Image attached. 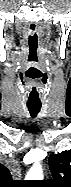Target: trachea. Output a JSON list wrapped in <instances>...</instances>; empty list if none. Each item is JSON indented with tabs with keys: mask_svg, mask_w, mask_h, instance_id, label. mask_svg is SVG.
Returning <instances> with one entry per match:
<instances>
[{
	"mask_svg": "<svg viewBox=\"0 0 71 187\" xmlns=\"http://www.w3.org/2000/svg\"><path fill=\"white\" fill-rule=\"evenodd\" d=\"M27 107H28V110L31 114V117L35 118L40 111L41 105H31V104H29V105H27Z\"/></svg>",
	"mask_w": 71,
	"mask_h": 187,
	"instance_id": "trachea-1",
	"label": "trachea"
}]
</instances>
